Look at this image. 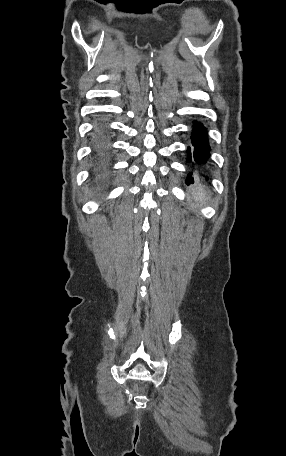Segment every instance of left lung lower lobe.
<instances>
[{
    "label": "left lung lower lobe",
    "mask_w": 286,
    "mask_h": 456,
    "mask_svg": "<svg viewBox=\"0 0 286 456\" xmlns=\"http://www.w3.org/2000/svg\"><path fill=\"white\" fill-rule=\"evenodd\" d=\"M192 145L194 146L193 149V157L194 160L199 164H205L208 161L210 156V147L207 140V132L205 127L198 122H195V126L192 131ZM191 161V151L188 148V162ZM192 174H189L186 183L189 184L190 182L193 183Z\"/></svg>",
    "instance_id": "0a47b994"
}]
</instances>
